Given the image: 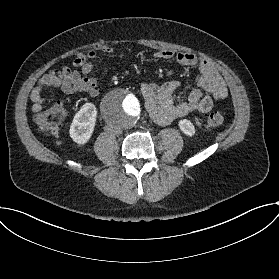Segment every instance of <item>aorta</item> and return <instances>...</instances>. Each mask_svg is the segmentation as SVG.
Returning <instances> with one entry per match:
<instances>
[{
  "label": "aorta",
  "mask_w": 279,
  "mask_h": 279,
  "mask_svg": "<svg viewBox=\"0 0 279 279\" xmlns=\"http://www.w3.org/2000/svg\"><path fill=\"white\" fill-rule=\"evenodd\" d=\"M101 111L110 127L124 130L136 125L142 108L139 98L133 92L117 88L104 97Z\"/></svg>",
  "instance_id": "762f6f07"
}]
</instances>
